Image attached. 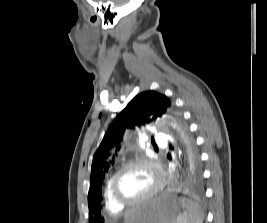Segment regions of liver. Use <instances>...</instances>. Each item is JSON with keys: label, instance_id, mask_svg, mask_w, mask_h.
I'll list each match as a JSON object with an SVG mask.
<instances>
[{"label": "liver", "instance_id": "1", "mask_svg": "<svg viewBox=\"0 0 267 223\" xmlns=\"http://www.w3.org/2000/svg\"><path fill=\"white\" fill-rule=\"evenodd\" d=\"M130 213H131V211H129V212H127V213L125 214V220L129 217Z\"/></svg>", "mask_w": 267, "mask_h": 223}]
</instances>
